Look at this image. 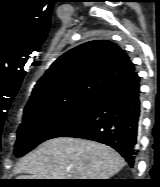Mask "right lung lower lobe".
Returning a JSON list of instances; mask_svg holds the SVG:
<instances>
[{
    "mask_svg": "<svg viewBox=\"0 0 160 187\" xmlns=\"http://www.w3.org/2000/svg\"><path fill=\"white\" fill-rule=\"evenodd\" d=\"M140 111V78L134 70L99 99L90 116L60 137L83 138L106 144L133 167L138 153Z\"/></svg>",
    "mask_w": 160,
    "mask_h": 187,
    "instance_id": "1",
    "label": "right lung lower lobe"
}]
</instances>
